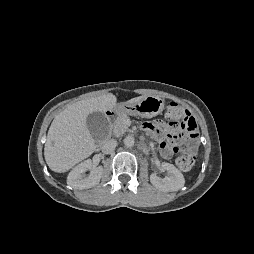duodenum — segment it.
Here are the masks:
<instances>
[{"mask_svg":"<svg viewBox=\"0 0 254 254\" xmlns=\"http://www.w3.org/2000/svg\"><path fill=\"white\" fill-rule=\"evenodd\" d=\"M120 115V112L118 110H112L108 112L107 118L109 121H112L114 118L118 117Z\"/></svg>","mask_w":254,"mask_h":254,"instance_id":"1","label":"duodenum"}]
</instances>
